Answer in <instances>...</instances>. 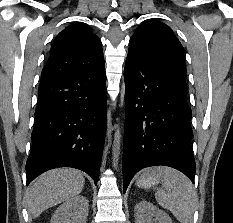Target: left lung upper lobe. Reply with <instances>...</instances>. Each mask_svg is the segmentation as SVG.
<instances>
[{
  "instance_id": "1",
  "label": "left lung upper lobe",
  "mask_w": 233,
  "mask_h": 223,
  "mask_svg": "<svg viewBox=\"0 0 233 223\" xmlns=\"http://www.w3.org/2000/svg\"><path fill=\"white\" fill-rule=\"evenodd\" d=\"M142 57L156 67L182 79H186L185 50L166 24L155 20H145L129 42Z\"/></svg>"
}]
</instances>
